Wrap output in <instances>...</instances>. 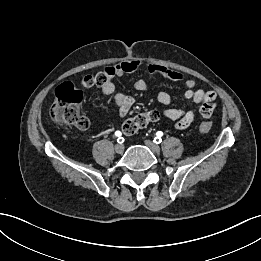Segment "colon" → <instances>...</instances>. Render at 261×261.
<instances>
[{
  "label": "colon",
  "instance_id": "5ec220e1",
  "mask_svg": "<svg viewBox=\"0 0 261 261\" xmlns=\"http://www.w3.org/2000/svg\"><path fill=\"white\" fill-rule=\"evenodd\" d=\"M105 81L103 74L95 75L96 85H101ZM83 101L82 92L70 83L61 84L55 95V100L50 109L52 120L61 125L65 129L84 130L88 127L89 122L86 117L81 114L80 108ZM160 114L156 110H149L139 113L126 119L122 125L123 132L126 135H132L150 123L157 121ZM212 128L210 122H202L199 125L201 133H208Z\"/></svg>",
  "mask_w": 261,
  "mask_h": 261
}]
</instances>
